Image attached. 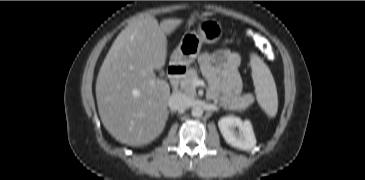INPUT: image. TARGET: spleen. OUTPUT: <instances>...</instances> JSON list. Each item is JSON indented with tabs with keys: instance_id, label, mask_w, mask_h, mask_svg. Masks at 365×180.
<instances>
[{
	"instance_id": "spleen-1",
	"label": "spleen",
	"mask_w": 365,
	"mask_h": 180,
	"mask_svg": "<svg viewBox=\"0 0 365 180\" xmlns=\"http://www.w3.org/2000/svg\"><path fill=\"white\" fill-rule=\"evenodd\" d=\"M250 66L257 101L268 116L275 117L278 109V97L271 71L255 53L250 56Z\"/></svg>"
}]
</instances>
